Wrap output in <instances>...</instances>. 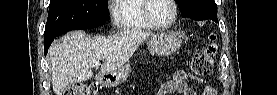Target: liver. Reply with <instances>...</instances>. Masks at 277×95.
Listing matches in <instances>:
<instances>
[{
	"label": "liver",
	"mask_w": 277,
	"mask_h": 95,
	"mask_svg": "<svg viewBox=\"0 0 277 95\" xmlns=\"http://www.w3.org/2000/svg\"><path fill=\"white\" fill-rule=\"evenodd\" d=\"M152 35L150 32L125 30L112 36L88 38L83 31H74L52 43L49 49L52 87L55 95L73 83L92 78L97 62L103 74L126 64L139 45Z\"/></svg>",
	"instance_id": "1"
}]
</instances>
